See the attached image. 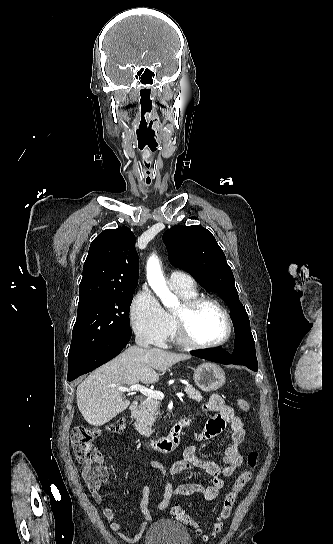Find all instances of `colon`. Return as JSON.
Segmentation results:
<instances>
[{"mask_svg":"<svg viewBox=\"0 0 333 544\" xmlns=\"http://www.w3.org/2000/svg\"><path fill=\"white\" fill-rule=\"evenodd\" d=\"M237 405L242 411H248L250 409L249 402L242 398L237 399ZM125 426V418L118 417L111 421L105 427V430L109 433H121L125 429ZM99 435L100 430L98 429L78 426L74 428L71 438L74 455L83 467V479L90 490L99 489L108 478V471L103 464L102 455L94 444ZM258 459L259 455L256 451H251L248 454V467L238 476L229 492L223 498L222 507L217 520L209 534H203L200 524L180 506H174L171 509L173 517L194 529L197 534L205 539L216 536L222 530L224 523L229 519L232 513L238 492L251 480Z\"/></svg>","mask_w":333,"mask_h":544,"instance_id":"5ec220e1","label":"colon"}]
</instances>
